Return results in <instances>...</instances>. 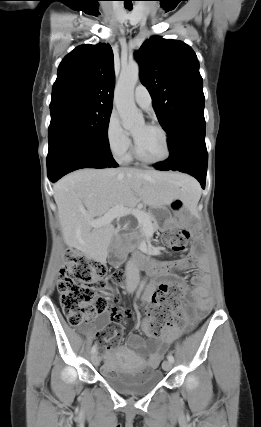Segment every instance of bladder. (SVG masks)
Here are the masks:
<instances>
[{
    "label": "bladder",
    "instance_id": "obj_1",
    "mask_svg": "<svg viewBox=\"0 0 261 427\" xmlns=\"http://www.w3.org/2000/svg\"><path fill=\"white\" fill-rule=\"evenodd\" d=\"M102 378L116 390L125 394H143L151 391L162 381L158 369L137 371L124 365L118 358L111 357L101 369Z\"/></svg>",
    "mask_w": 261,
    "mask_h": 427
}]
</instances>
